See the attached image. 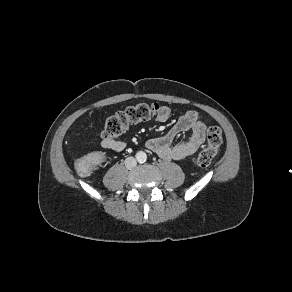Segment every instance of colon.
<instances>
[{
  "label": "colon",
  "instance_id": "obj_1",
  "mask_svg": "<svg viewBox=\"0 0 292 292\" xmlns=\"http://www.w3.org/2000/svg\"><path fill=\"white\" fill-rule=\"evenodd\" d=\"M158 111L159 106L157 104L149 103H139L118 111L106 120L102 137L103 139H115L130 126L156 117ZM222 142L221 128L219 126H211L208 129L207 145L198 154L197 165L200 167L208 166L216 156ZM102 158L103 156L99 153L85 156L77 161L76 167L80 173L87 174Z\"/></svg>",
  "mask_w": 292,
  "mask_h": 292
}]
</instances>
